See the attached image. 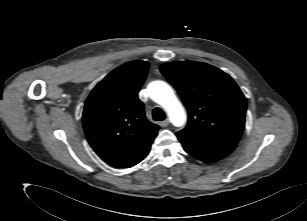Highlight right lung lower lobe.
<instances>
[{
  "label": "right lung lower lobe",
  "instance_id": "obj_1",
  "mask_svg": "<svg viewBox=\"0 0 307 221\" xmlns=\"http://www.w3.org/2000/svg\"><path fill=\"white\" fill-rule=\"evenodd\" d=\"M149 151H150V148L147 149L141 156H139L137 159L132 161L130 164H128L124 168L132 167V166L136 165L137 163H139L140 161H142L148 155Z\"/></svg>",
  "mask_w": 307,
  "mask_h": 221
}]
</instances>
